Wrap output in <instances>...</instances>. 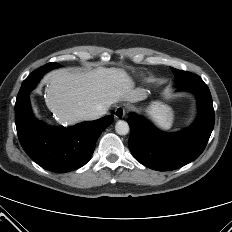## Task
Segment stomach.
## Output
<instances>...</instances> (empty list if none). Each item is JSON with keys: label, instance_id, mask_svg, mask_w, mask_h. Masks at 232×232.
I'll return each mask as SVG.
<instances>
[{"label": "stomach", "instance_id": "obj_1", "mask_svg": "<svg viewBox=\"0 0 232 232\" xmlns=\"http://www.w3.org/2000/svg\"><path fill=\"white\" fill-rule=\"evenodd\" d=\"M147 112L160 128L169 129L172 126L173 111L169 106L153 102Z\"/></svg>", "mask_w": 232, "mask_h": 232}]
</instances>
